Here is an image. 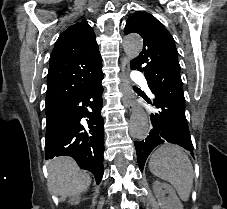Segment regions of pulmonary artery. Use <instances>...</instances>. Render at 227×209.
I'll list each match as a JSON object with an SVG mask.
<instances>
[{"mask_svg":"<svg viewBox=\"0 0 227 209\" xmlns=\"http://www.w3.org/2000/svg\"><path fill=\"white\" fill-rule=\"evenodd\" d=\"M129 77L132 78V83H141V78L144 77V74L134 71V73L129 74Z\"/></svg>","mask_w":227,"mask_h":209,"instance_id":"1","label":"pulmonary artery"}]
</instances>
